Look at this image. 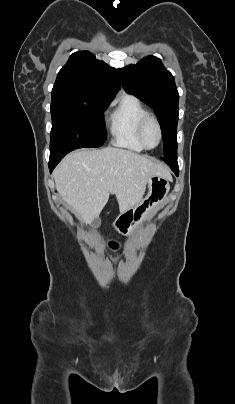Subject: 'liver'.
Here are the masks:
<instances>
[{
	"instance_id": "6515ba94",
	"label": "liver",
	"mask_w": 235,
	"mask_h": 404,
	"mask_svg": "<svg viewBox=\"0 0 235 404\" xmlns=\"http://www.w3.org/2000/svg\"><path fill=\"white\" fill-rule=\"evenodd\" d=\"M53 175L58 193L85 223L99 216L111 193L122 213L143 200L151 177L171 180L167 168L135 152L114 147L72 152Z\"/></svg>"
}]
</instances>
